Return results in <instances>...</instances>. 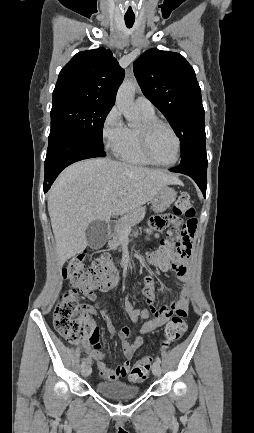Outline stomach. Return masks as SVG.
<instances>
[{
    "instance_id": "stomach-1",
    "label": "stomach",
    "mask_w": 254,
    "mask_h": 433,
    "mask_svg": "<svg viewBox=\"0 0 254 433\" xmlns=\"http://www.w3.org/2000/svg\"><path fill=\"white\" fill-rule=\"evenodd\" d=\"M176 192L173 188L165 186L161 188L152 199V208L156 213L164 212L176 199Z\"/></svg>"
}]
</instances>
